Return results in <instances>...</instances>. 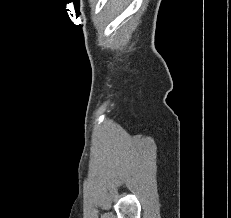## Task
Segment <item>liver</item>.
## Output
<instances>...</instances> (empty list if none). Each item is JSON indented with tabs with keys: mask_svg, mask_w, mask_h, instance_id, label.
<instances>
[{
	"mask_svg": "<svg viewBox=\"0 0 231 218\" xmlns=\"http://www.w3.org/2000/svg\"><path fill=\"white\" fill-rule=\"evenodd\" d=\"M123 0H110L108 6L111 7L113 11H119L120 6L124 3Z\"/></svg>",
	"mask_w": 231,
	"mask_h": 218,
	"instance_id": "liver-1",
	"label": "liver"
}]
</instances>
